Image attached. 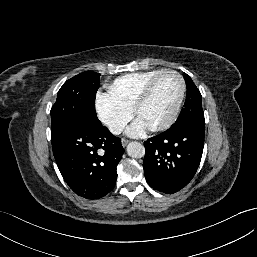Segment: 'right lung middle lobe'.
<instances>
[{
    "mask_svg": "<svg viewBox=\"0 0 257 257\" xmlns=\"http://www.w3.org/2000/svg\"><path fill=\"white\" fill-rule=\"evenodd\" d=\"M100 74L83 72L67 80L58 91L51 108V136L67 126L90 128L102 126L95 111V97Z\"/></svg>",
    "mask_w": 257,
    "mask_h": 257,
    "instance_id": "dd1d6c3e",
    "label": "right lung middle lobe"
}]
</instances>
